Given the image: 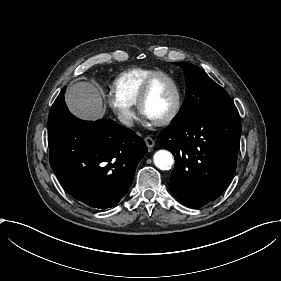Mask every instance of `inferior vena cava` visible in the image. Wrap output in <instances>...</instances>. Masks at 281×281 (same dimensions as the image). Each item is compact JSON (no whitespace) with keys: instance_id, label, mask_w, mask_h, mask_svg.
Returning <instances> with one entry per match:
<instances>
[{"instance_id":"obj_1","label":"inferior vena cava","mask_w":281,"mask_h":281,"mask_svg":"<svg viewBox=\"0 0 281 281\" xmlns=\"http://www.w3.org/2000/svg\"><path fill=\"white\" fill-rule=\"evenodd\" d=\"M118 119H119V121L122 124H124V125H126L128 127H132L133 126V119L130 116H128V115L119 114L118 115Z\"/></svg>"}]
</instances>
